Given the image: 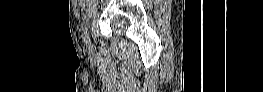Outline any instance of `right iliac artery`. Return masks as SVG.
I'll return each instance as SVG.
<instances>
[{
    "mask_svg": "<svg viewBox=\"0 0 263 92\" xmlns=\"http://www.w3.org/2000/svg\"><path fill=\"white\" fill-rule=\"evenodd\" d=\"M88 40H89L88 28L85 27V29H84V42L87 44Z\"/></svg>",
    "mask_w": 263,
    "mask_h": 92,
    "instance_id": "1",
    "label": "right iliac artery"
}]
</instances>
